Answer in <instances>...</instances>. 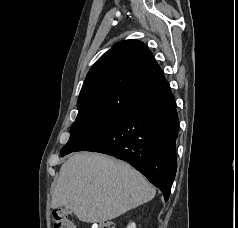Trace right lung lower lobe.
I'll use <instances>...</instances> for the list:
<instances>
[{"mask_svg": "<svg viewBox=\"0 0 238 228\" xmlns=\"http://www.w3.org/2000/svg\"><path fill=\"white\" fill-rule=\"evenodd\" d=\"M179 119L171 90L142 102L79 146L130 163L158 187L168 200L177 169Z\"/></svg>", "mask_w": 238, "mask_h": 228, "instance_id": "98d812e1", "label": "right lung lower lobe"}]
</instances>
